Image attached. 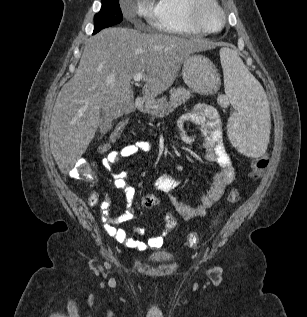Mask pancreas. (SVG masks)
Listing matches in <instances>:
<instances>
[{
	"mask_svg": "<svg viewBox=\"0 0 307 317\" xmlns=\"http://www.w3.org/2000/svg\"><path fill=\"white\" fill-rule=\"evenodd\" d=\"M191 96V92L188 89L182 87L172 88L170 90L169 102H165L161 105L156 116L162 117L166 114L171 113L179 105L185 103ZM153 119L154 117H152V120Z\"/></svg>",
	"mask_w": 307,
	"mask_h": 317,
	"instance_id": "1",
	"label": "pancreas"
}]
</instances>
